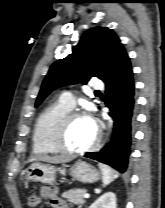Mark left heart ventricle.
<instances>
[{"mask_svg":"<svg viewBox=\"0 0 165 208\" xmlns=\"http://www.w3.org/2000/svg\"><path fill=\"white\" fill-rule=\"evenodd\" d=\"M96 129L88 117L75 118L64 135V143L70 149H83L94 140Z\"/></svg>","mask_w":165,"mask_h":208,"instance_id":"left-heart-ventricle-1","label":"left heart ventricle"}]
</instances>
